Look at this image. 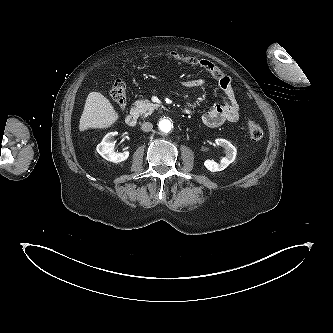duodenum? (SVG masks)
I'll use <instances>...</instances> for the list:
<instances>
[{
	"mask_svg": "<svg viewBox=\"0 0 333 333\" xmlns=\"http://www.w3.org/2000/svg\"><path fill=\"white\" fill-rule=\"evenodd\" d=\"M137 114L134 111H131L125 118V122L128 126L134 127L137 124Z\"/></svg>",
	"mask_w": 333,
	"mask_h": 333,
	"instance_id": "410a0bca",
	"label": "duodenum"
}]
</instances>
